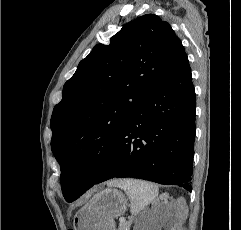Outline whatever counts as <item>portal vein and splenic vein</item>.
Returning a JSON list of instances; mask_svg holds the SVG:
<instances>
[{"label":"portal vein and splenic vein","instance_id":"1","mask_svg":"<svg viewBox=\"0 0 241 230\" xmlns=\"http://www.w3.org/2000/svg\"><path fill=\"white\" fill-rule=\"evenodd\" d=\"M119 221H120V224H122V223H125L126 220L124 217H120Z\"/></svg>","mask_w":241,"mask_h":230}]
</instances>
